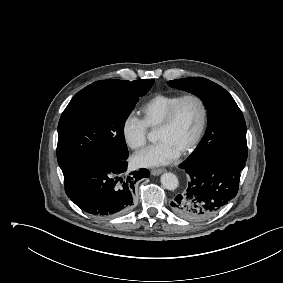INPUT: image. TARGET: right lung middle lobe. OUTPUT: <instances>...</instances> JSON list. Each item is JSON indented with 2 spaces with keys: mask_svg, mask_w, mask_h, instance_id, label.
Instances as JSON below:
<instances>
[{
  "mask_svg": "<svg viewBox=\"0 0 283 283\" xmlns=\"http://www.w3.org/2000/svg\"><path fill=\"white\" fill-rule=\"evenodd\" d=\"M154 80L94 82L79 91L58 124L57 160L61 169L85 157L128 156L124 124Z\"/></svg>",
  "mask_w": 283,
  "mask_h": 283,
  "instance_id": "right-lung-middle-lobe-1",
  "label": "right lung middle lobe"
}]
</instances>
